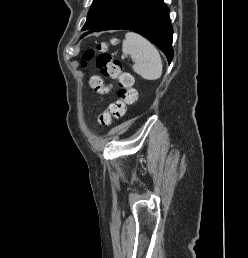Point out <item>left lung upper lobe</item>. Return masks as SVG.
<instances>
[{
	"label": "left lung upper lobe",
	"mask_w": 248,
	"mask_h": 258,
	"mask_svg": "<svg viewBox=\"0 0 248 258\" xmlns=\"http://www.w3.org/2000/svg\"><path fill=\"white\" fill-rule=\"evenodd\" d=\"M128 0H93L82 31H89L116 13Z\"/></svg>",
	"instance_id": "obj_1"
}]
</instances>
